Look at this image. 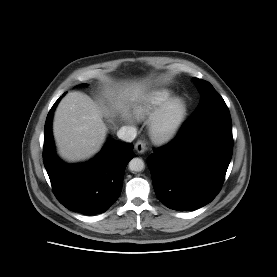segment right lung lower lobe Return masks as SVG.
<instances>
[{
  "label": "right lung lower lobe",
  "instance_id": "98d812e1",
  "mask_svg": "<svg viewBox=\"0 0 277 277\" xmlns=\"http://www.w3.org/2000/svg\"><path fill=\"white\" fill-rule=\"evenodd\" d=\"M48 113L44 129L43 162L56 198L67 209L85 215L103 213L121 194L126 165L133 158V144L108 141L93 159L66 164L55 153L51 132L53 112Z\"/></svg>",
  "mask_w": 277,
  "mask_h": 277
}]
</instances>
